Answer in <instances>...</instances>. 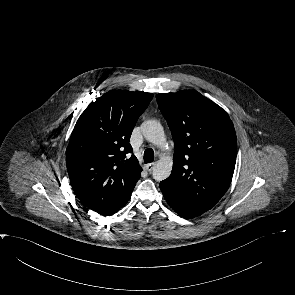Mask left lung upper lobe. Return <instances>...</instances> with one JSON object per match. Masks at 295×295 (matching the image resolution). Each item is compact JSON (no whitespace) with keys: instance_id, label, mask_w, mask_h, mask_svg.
<instances>
[{"instance_id":"obj_1","label":"left lung upper lobe","mask_w":295,"mask_h":295,"mask_svg":"<svg viewBox=\"0 0 295 295\" xmlns=\"http://www.w3.org/2000/svg\"><path fill=\"white\" fill-rule=\"evenodd\" d=\"M175 144L171 175L160 185L192 216L211 209L233 176L237 140L230 117L194 90L156 95Z\"/></svg>"}]
</instances>
